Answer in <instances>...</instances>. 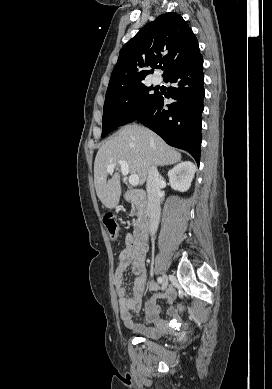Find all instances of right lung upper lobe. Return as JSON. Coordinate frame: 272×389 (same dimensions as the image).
<instances>
[{"instance_id":"1","label":"right lung upper lobe","mask_w":272,"mask_h":389,"mask_svg":"<svg viewBox=\"0 0 272 389\" xmlns=\"http://www.w3.org/2000/svg\"><path fill=\"white\" fill-rule=\"evenodd\" d=\"M200 55L198 41L184 19L177 13L162 14L121 48L107 92L143 83L158 64H163L165 78Z\"/></svg>"}]
</instances>
